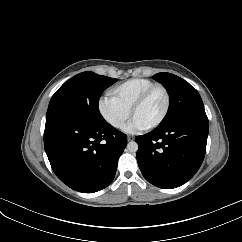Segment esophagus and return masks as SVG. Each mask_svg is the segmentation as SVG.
I'll return each mask as SVG.
<instances>
[{
	"label": "esophagus",
	"mask_w": 242,
	"mask_h": 242,
	"mask_svg": "<svg viewBox=\"0 0 242 242\" xmlns=\"http://www.w3.org/2000/svg\"><path fill=\"white\" fill-rule=\"evenodd\" d=\"M127 140H128V141H132V140H134V137H133V136H128V137H127Z\"/></svg>",
	"instance_id": "34e87169"
}]
</instances>
